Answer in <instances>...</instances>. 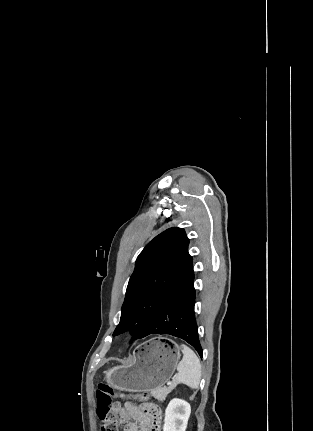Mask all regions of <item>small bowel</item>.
Instances as JSON below:
<instances>
[{
  "mask_svg": "<svg viewBox=\"0 0 313 431\" xmlns=\"http://www.w3.org/2000/svg\"><path fill=\"white\" fill-rule=\"evenodd\" d=\"M113 411L123 424V431H154V418L147 412L146 405L116 402Z\"/></svg>",
  "mask_w": 313,
  "mask_h": 431,
  "instance_id": "c3829d8e",
  "label": "small bowel"
}]
</instances>
